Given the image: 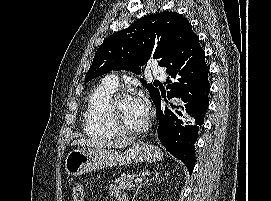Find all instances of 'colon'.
<instances>
[{"label":"colon","mask_w":271,"mask_h":201,"mask_svg":"<svg viewBox=\"0 0 271 201\" xmlns=\"http://www.w3.org/2000/svg\"><path fill=\"white\" fill-rule=\"evenodd\" d=\"M85 198V187L81 183H77L73 188V201H84Z\"/></svg>","instance_id":"obj_1"}]
</instances>
